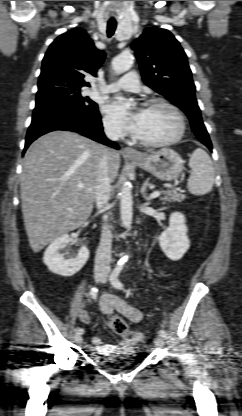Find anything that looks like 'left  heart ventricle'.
Here are the masks:
<instances>
[{"label": "left heart ventricle", "mask_w": 242, "mask_h": 416, "mask_svg": "<svg viewBox=\"0 0 242 416\" xmlns=\"http://www.w3.org/2000/svg\"><path fill=\"white\" fill-rule=\"evenodd\" d=\"M178 120L171 110L158 106L139 111V119L134 133L148 141H162L174 136Z\"/></svg>", "instance_id": "left-heart-ventricle-1"}]
</instances>
